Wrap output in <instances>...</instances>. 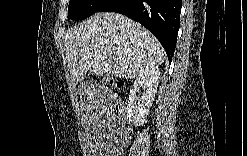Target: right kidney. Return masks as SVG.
Here are the masks:
<instances>
[{
    "instance_id": "1",
    "label": "right kidney",
    "mask_w": 247,
    "mask_h": 156,
    "mask_svg": "<svg viewBox=\"0 0 247 156\" xmlns=\"http://www.w3.org/2000/svg\"><path fill=\"white\" fill-rule=\"evenodd\" d=\"M160 71L156 65L147 66L137 75L127 103V116L135 126L144 124L159 83ZM142 89V103L136 106V92Z\"/></svg>"
}]
</instances>
